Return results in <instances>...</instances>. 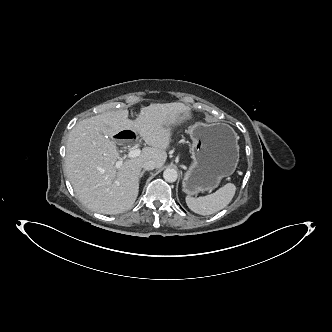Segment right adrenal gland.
I'll use <instances>...</instances> for the list:
<instances>
[{"instance_id": "2a0ac1e0", "label": "right adrenal gland", "mask_w": 332, "mask_h": 332, "mask_svg": "<svg viewBox=\"0 0 332 332\" xmlns=\"http://www.w3.org/2000/svg\"><path fill=\"white\" fill-rule=\"evenodd\" d=\"M145 171L143 170L140 174V177H142L144 175Z\"/></svg>"}]
</instances>
